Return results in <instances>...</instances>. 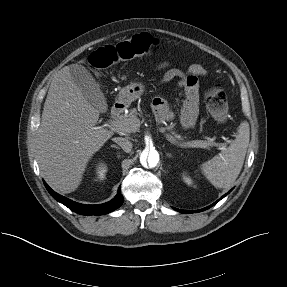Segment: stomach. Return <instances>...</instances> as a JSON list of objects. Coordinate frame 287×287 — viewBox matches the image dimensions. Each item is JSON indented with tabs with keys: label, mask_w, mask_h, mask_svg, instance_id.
Instances as JSON below:
<instances>
[{
	"label": "stomach",
	"mask_w": 287,
	"mask_h": 287,
	"mask_svg": "<svg viewBox=\"0 0 287 287\" xmlns=\"http://www.w3.org/2000/svg\"><path fill=\"white\" fill-rule=\"evenodd\" d=\"M144 92V85L141 83H131L119 92L118 99L123 104L129 106L134 100L139 98Z\"/></svg>",
	"instance_id": "0dacf381"
}]
</instances>
